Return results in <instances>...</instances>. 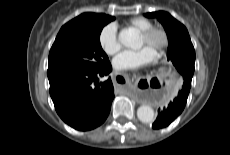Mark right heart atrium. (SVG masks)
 Wrapping results in <instances>:
<instances>
[{
	"mask_svg": "<svg viewBox=\"0 0 230 155\" xmlns=\"http://www.w3.org/2000/svg\"><path fill=\"white\" fill-rule=\"evenodd\" d=\"M98 41L100 48L108 56H112L120 50L117 29L113 24L105 25L101 29Z\"/></svg>",
	"mask_w": 230,
	"mask_h": 155,
	"instance_id": "obj_1",
	"label": "right heart atrium"
}]
</instances>
